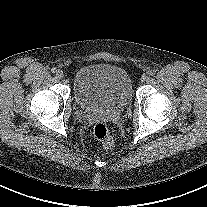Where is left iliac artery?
Segmentation results:
<instances>
[{"mask_svg":"<svg viewBox=\"0 0 207 207\" xmlns=\"http://www.w3.org/2000/svg\"><path fill=\"white\" fill-rule=\"evenodd\" d=\"M155 74H156V71H155V70H151V71H149V75L153 76V75H155Z\"/></svg>","mask_w":207,"mask_h":207,"instance_id":"left-iliac-artery-1","label":"left iliac artery"}]
</instances>
